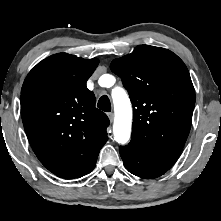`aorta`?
Masks as SVG:
<instances>
[{"mask_svg": "<svg viewBox=\"0 0 221 221\" xmlns=\"http://www.w3.org/2000/svg\"><path fill=\"white\" fill-rule=\"evenodd\" d=\"M115 119L113 124L114 138L119 144H126L131 135L132 107L128 95L122 88L112 91Z\"/></svg>", "mask_w": 221, "mask_h": 221, "instance_id": "762f6f07", "label": "aorta"}]
</instances>
